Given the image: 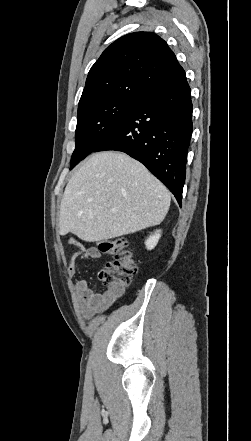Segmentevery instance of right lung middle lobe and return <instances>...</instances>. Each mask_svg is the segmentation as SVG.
<instances>
[{"label":"right lung middle lobe","instance_id":"obj_1","mask_svg":"<svg viewBox=\"0 0 251 441\" xmlns=\"http://www.w3.org/2000/svg\"><path fill=\"white\" fill-rule=\"evenodd\" d=\"M142 95L105 98L78 110L75 132L76 147L71 168L93 150L117 127L141 100Z\"/></svg>","mask_w":251,"mask_h":441}]
</instances>
